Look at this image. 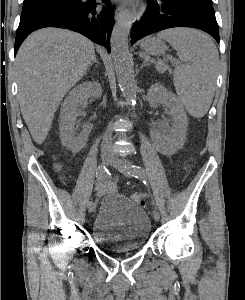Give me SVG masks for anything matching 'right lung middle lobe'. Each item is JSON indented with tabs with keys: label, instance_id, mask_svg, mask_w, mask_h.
I'll list each match as a JSON object with an SVG mask.
<instances>
[{
	"label": "right lung middle lobe",
	"instance_id": "1",
	"mask_svg": "<svg viewBox=\"0 0 245 300\" xmlns=\"http://www.w3.org/2000/svg\"><path fill=\"white\" fill-rule=\"evenodd\" d=\"M85 0H32L24 1L21 20L67 6L81 5Z\"/></svg>",
	"mask_w": 245,
	"mask_h": 300
}]
</instances>
